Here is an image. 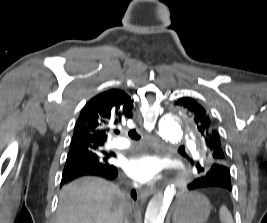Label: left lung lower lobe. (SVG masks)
<instances>
[{
    "mask_svg": "<svg viewBox=\"0 0 267 223\" xmlns=\"http://www.w3.org/2000/svg\"><path fill=\"white\" fill-rule=\"evenodd\" d=\"M189 192H201V194L230 195L235 187L234 177L225 171H208L207 173H190L186 177Z\"/></svg>",
    "mask_w": 267,
    "mask_h": 223,
    "instance_id": "left-lung-lower-lobe-1",
    "label": "left lung lower lobe"
}]
</instances>
